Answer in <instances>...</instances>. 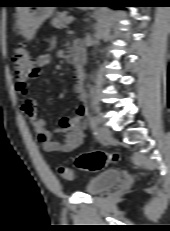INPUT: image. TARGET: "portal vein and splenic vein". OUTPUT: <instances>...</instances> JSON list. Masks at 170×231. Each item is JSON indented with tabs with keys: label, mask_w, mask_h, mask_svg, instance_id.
<instances>
[{
	"label": "portal vein and splenic vein",
	"mask_w": 170,
	"mask_h": 231,
	"mask_svg": "<svg viewBox=\"0 0 170 231\" xmlns=\"http://www.w3.org/2000/svg\"><path fill=\"white\" fill-rule=\"evenodd\" d=\"M73 20H74L73 18H69V19L67 20V24H70Z\"/></svg>",
	"instance_id": "1"
}]
</instances>
